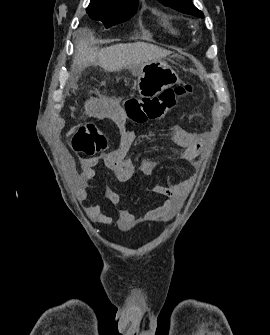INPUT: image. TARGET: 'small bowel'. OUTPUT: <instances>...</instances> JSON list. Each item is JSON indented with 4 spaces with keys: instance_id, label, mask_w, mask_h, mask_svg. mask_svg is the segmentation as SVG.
<instances>
[{
    "instance_id": "small-bowel-1",
    "label": "small bowel",
    "mask_w": 270,
    "mask_h": 335,
    "mask_svg": "<svg viewBox=\"0 0 270 335\" xmlns=\"http://www.w3.org/2000/svg\"><path fill=\"white\" fill-rule=\"evenodd\" d=\"M102 107L96 112L99 118H107L115 121L120 129V143L116 150L103 154L99 157L86 158L81 160V171L78 176L79 199L86 198V188L91 180L96 176L95 167L100 160H103L109 170H111L119 182L129 181L136 173L148 176L151 175L155 163L148 159H143L136 166L128 158L129 150L134 141L135 134L128 127L125 116L118 105L112 101H101ZM173 142L181 148L180 159L193 167L198 166L197 156L203 148V138L199 134L191 133L179 126H174ZM55 161H59L63 169H76L77 164L73 158H68L67 154H55ZM195 177L178 181L169 185H155L152 191L165 197L162 204L146 211L144 219L146 221L167 220L174 213L176 206L182 202L193 186ZM105 198L112 205H119L121 196L110 187L105 189ZM86 215L93 221L110 225L113 222L111 214L106 212L101 205H92L85 208ZM118 227L122 230L130 225L132 212L127 208H118Z\"/></svg>"
}]
</instances>
